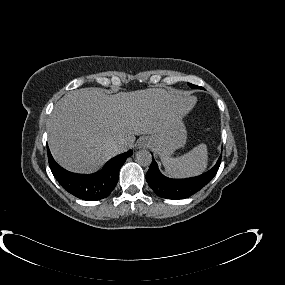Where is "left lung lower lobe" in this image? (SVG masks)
Here are the masks:
<instances>
[{
	"label": "left lung lower lobe",
	"mask_w": 285,
	"mask_h": 285,
	"mask_svg": "<svg viewBox=\"0 0 285 285\" xmlns=\"http://www.w3.org/2000/svg\"><path fill=\"white\" fill-rule=\"evenodd\" d=\"M221 163L219 157L215 166L207 173L188 179H170L158 169L155 160H152L146 174V180L156 195L166 199H185L202 189L216 175Z\"/></svg>",
	"instance_id": "1"
}]
</instances>
